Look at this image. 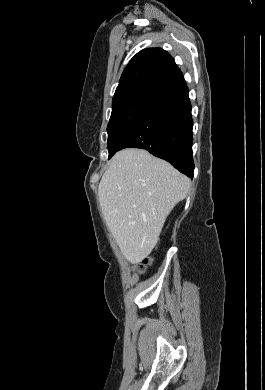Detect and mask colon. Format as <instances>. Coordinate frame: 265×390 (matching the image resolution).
Here are the masks:
<instances>
[{"label":"colon","instance_id":"5ec220e1","mask_svg":"<svg viewBox=\"0 0 265 390\" xmlns=\"http://www.w3.org/2000/svg\"><path fill=\"white\" fill-rule=\"evenodd\" d=\"M151 263V260L149 258H146L138 267V271L140 273H143L146 268L148 267V265Z\"/></svg>","mask_w":265,"mask_h":390}]
</instances>
